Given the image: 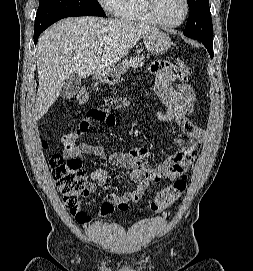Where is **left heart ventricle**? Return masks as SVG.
Here are the masks:
<instances>
[{
	"instance_id": "left-heart-ventricle-1",
	"label": "left heart ventricle",
	"mask_w": 253,
	"mask_h": 271,
	"mask_svg": "<svg viewBox=\"0 0 253 271\" xmlns=\"http://www.w3.org/2000/svg\"><path fill=\"white\" fill-rule=\"evenodd\" d=\"M155 10L161 20L167 23L178 22L185 10L183 0H154Z\"/></svg>"
}]
</instances>
